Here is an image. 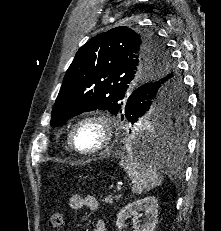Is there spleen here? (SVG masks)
<instances>
[{
  "label": "spleen",
  "instance_id": "obj_1",
  "mask_svg": "<svg viewBox=\"0 0 221 231\" xmlns=\"http://www.w3.org/2000/svg\"><path fill=\"white\" fill-rule=\"evenodd\" d=\"M153 164V161L146 162L131 154L119 162V165L134 182L132 187L134 193L148 192L162 183L163 178Z\"/></svg>",
  "mask_w": 221,
  "mask_h": 231
}]
</instances>
